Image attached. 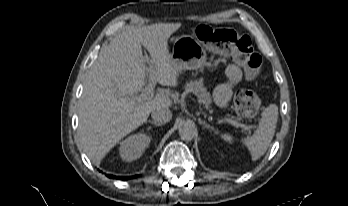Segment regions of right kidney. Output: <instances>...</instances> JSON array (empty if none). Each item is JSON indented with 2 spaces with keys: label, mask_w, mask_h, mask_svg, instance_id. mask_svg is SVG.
<instances>
[{
  "label": "right kidney",
  "mask_w": 348,
  "mask_h": 206,
  "mask_svg": "<svg viewBox=\"0 0 348 206\" xmlns=\"http://www.w3.org/2000/svg\"><path fill=\"white\" fill-rule=\"evenodd\" d=\"M150 137L146 134L138 133L130 135L120 144L119 154L124 161H133L142 155L145 148L150 143Z\"/></svg>",
  "instance_id": "obj_1"
}]
</instances>
